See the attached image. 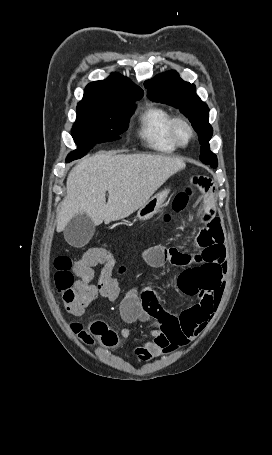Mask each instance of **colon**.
I'll use <instances>...</instances> for the list:
<instances>
[{"instance_id":"obj_1","label":"colon","mask_w":272,"mask_h":455,"mask_svg":"<svg viewBox=\"0 0 272 455\" xmlns=\"http://www.w3.org/2000/svg\"><path fill=\"white\" fill-rule=\"evenodd\" d=\"M193 196L194 192L189 188L179 193L172 203L173 212L184 211ZM170 218L167 214L164 220L168 222ZM99 265H103V271L98 283L94 284L93 268ZM54 268L56 289L61 295L65 310L72 315L82 314L99 296L106 300L116 299L120 285L128 273V268L121 265L116 270L117 276L113 275L115 260L104 246L87 247L76 260L66 255L58 256L54 260ZM75 275L79 277L78 280H75ZM72 330L87 345L100 342L110 347L117 343L115 332L103 322H94L88 329L80 323H73Z\"/></svg>"}]
</instances>
